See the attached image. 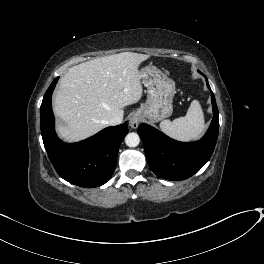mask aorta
Returning <instances> with one entry per match:
<instances>
[{"instance_id": "aorta-1", "label": "aorta", "mask_w": 264, "mask_h": 264, "mask_svg": "<svg viewBox=\"0 0 264 264\" xmlns=\"http://www.w3.org/2000/svg\"><path fill=\"white\" fill-rule=\"evenodd\" d=\"M125 143L128 147H136L140 143V137L137 133H128L125 137Z\"/></svg>"}]
</instances>
